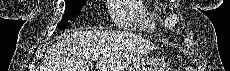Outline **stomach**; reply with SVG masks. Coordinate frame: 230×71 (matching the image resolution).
<instances>
[{
  "label": "stomach",
  "mask_w": 230,
  "mask_h": 71,
  "mask_svg": "<svg viewBox=\"0 0 230 71\" xmlns=\"http://www.w3.org/2000/svg\"><path fill=\"white\" fill-rule=\"evenodd\" d=\"M160 67L152 66L149 62L141 61L140 63L132 66V67H126L123 71H160L159 69H162V65H164L163 62L159 63Z\"/></svg>",
  "instance_id": "obj_1"
}]
</instances>
